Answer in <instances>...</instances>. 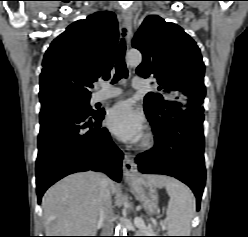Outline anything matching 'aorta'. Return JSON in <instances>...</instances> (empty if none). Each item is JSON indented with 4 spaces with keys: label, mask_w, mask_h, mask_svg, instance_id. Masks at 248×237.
Segmentation results:
<instances>
[{
    "label": "aorta",
    "mask_w": 248,
    "mask_h": 237,
    "mask_svg": "<svg viewBox=\"0 0 248 237\" xmlns=\"http://www.w3.org/2000/svg\"><path fill=\"white\" fill-rule=\"evenodd\" d=\"M126 62L129 66H132V67L138 66L142 62L141 53L136 50L129 51L126 55ZM119 230H120V234H125V229L123 225L118 226V229H117L118 236H119Z\"/></svg>",
    "instance_id": "1"
}]
</instances>
